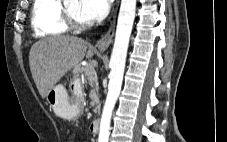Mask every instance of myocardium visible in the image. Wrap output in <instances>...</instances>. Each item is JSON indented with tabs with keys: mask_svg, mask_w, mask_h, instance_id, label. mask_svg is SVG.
Listing matches in <instances>:
<instances>
[{
	"mask_svg": "<svg viewBox=\"0 0 227 142\" xmlns=\"http://www.w3.org/2000/svg\"><path fill=\"white\" fill-rule=\"evenodd\" d=\"M61 16L65 25L70 29L82 30L90 26L88 22L81 21L72 15L66 6H61Z\"/></svg>",
	"mask_w": 227,
	"mask_h": 142,
	"instance_id": "1",
	"label": "myocardium"
}]
</instances>
